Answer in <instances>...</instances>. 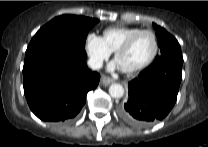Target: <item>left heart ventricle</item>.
<instances>
[{
  "mask_svg": "<svg viewBox=\"0 0 208 147\" xmlns=\"http://www.w3.org/2000/svg\"><path fill=\"white\" fill-rule=\"evenodd\" d=\"M154 51V40L150 34L140 35L131 47L119 56L117 62L123 67H133L146 62Z\"/></svg>",
  "mask_w": 208,
  "mask_h": 147,
  "instance_id": "1",
  "label": "left heart ventricle"
}]
</instances>
